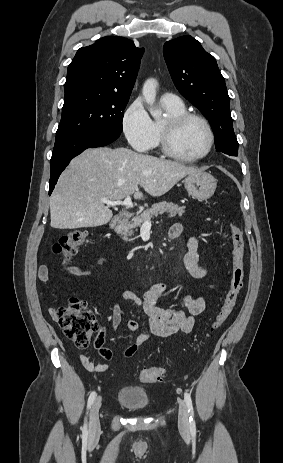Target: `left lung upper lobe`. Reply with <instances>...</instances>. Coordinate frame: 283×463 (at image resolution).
<instances>
[{
    "label": "left lung upper lobe",
    "instance_id": "1",
    "mask_svg": "<svg viewBox=\"0 0 283 463\" xmlns=\"http://www.w3.org/2000/svg\"><path fill=\"white\" fill-rule=\"evenodd\" d=\"M163 54L176 88L210 121L216 151L237 156L230 98L215 58L189 35L166 42Z\"/></svg>",
    "mask_w": 283,
    "mask_h": 463
}]
</instances>
